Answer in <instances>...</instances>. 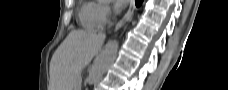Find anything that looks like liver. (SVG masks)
Wrapping results in <instances>:
<instances>
[{"instance_id":"6515ba94","label":"liver","mask_w":228,"mask_h":90,"mask_svg":"<svg viewBox=\"0 0 228 90\" xmlns=\"http://www.w3.org/2000/svg\"><path fill=\"white\" fill-rule=\"evenodd\" d=\"M105 35L72 31L57 48L50 62V90H75L81 71L99 52Z\"/></svg>"}]
</instances>
